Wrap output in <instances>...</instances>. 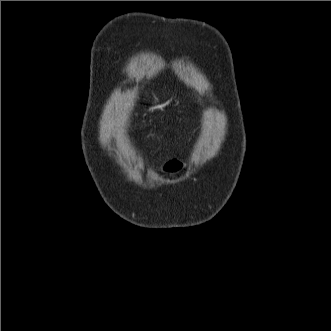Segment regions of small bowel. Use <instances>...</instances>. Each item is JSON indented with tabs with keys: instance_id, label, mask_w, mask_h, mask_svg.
Returning <instances> with one entry per match:
<instances>
[{
	"instance_id": "obj_1",
	"label": "small bowel",
	"mask_w": 331,
	"mask_h": 331,
	"mask_svg": "<svg viewBox=\"0 0 331 331\" xmlns=\"http://www.w3.org/2000/svg\"><path fill=\"white\" fill-rule=\"evenodd\" d=\"M184 166H185V164L181 161L171 160L166 163L165 169L167 172L175 173V172L180 171Z\"/></svg>"
}]
</instances>
